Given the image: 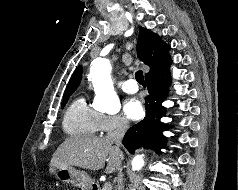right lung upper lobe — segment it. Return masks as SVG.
Segmentation results:
<instances>
[{
  "mask_svg": "<svg viewBox=\"0 0 238 190\" xmlns=\"http://www.w3.org/2000/svg\"><path fill=\"white\" fill-rule=\"evenodd\" d=\"M139 31L137 55L141 61L150 67V71L145 75V78H147L159 72L171 62L168 54L170 46L162 42L157 34L146 28L139 27ZM81 76L82 67L78 66L67 85L65 94L73 93L77 89Z\"/></svg>",
  "mask_w": 238,
  "mask_h": 190,
  "instance_id": "right-lung-upper-lobe-1",
  "label": "right lung upper lobe"
}]
</instances>
